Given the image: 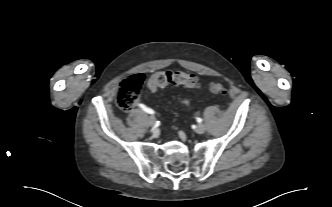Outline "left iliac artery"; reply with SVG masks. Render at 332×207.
Segmentation results:
<instances>
[{"instance_id": "obj_1", "label": "left iliac artery", "mask_w": 332, "mask_h": 207, "mask_svg": "<svg viewBox=\"0 0 332 207\" xmlns=\"http://www.w3.org/2000/svg\"><path fill=\"white\" fill-rule=\"evenodd\" d=\"M197 122L201 123L202 122V119L201 118H197Z\"/></svg>"}]
</instances>
